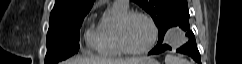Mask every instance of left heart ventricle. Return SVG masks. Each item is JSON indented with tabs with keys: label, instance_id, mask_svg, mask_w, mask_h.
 <instances>
[{
	"label": "left heart ventricle",
	"instance_id": "left-heart-ventricle-1",
	"mask_svg": "<svg viewBox=\"0 0 242 64\" xmlns=\"http://www.w3.org/2000/svg\"><path fill=\"white\" fill-rule=\"evenodd\" d=\"M152 37V29L147 20L142 17L132 18L125 29L127 44L133 49L146 47Z\"/></svg>",
	"mask_w": 242,
	"mask_h": 64
}]
</instances>
